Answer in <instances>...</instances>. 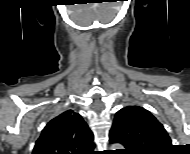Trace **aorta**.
<instances>
[{"mask_svg":"<svg viewBox=\"0 0 190 154\" xmlns=\"http://www.w3.org/2000/svg\"><path fill=\"white\" fill-rule=\"evenodd\" d=\"M111 148H113V150L122 149V146L120 144H114L111 146Z\"/></svg>","mask_w":190,"mask_h":154,"instance_id":"1","label":"aorta"}]
</instances>
